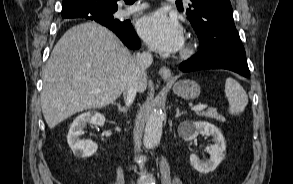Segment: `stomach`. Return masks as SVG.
Masks as SVG:
<instances>
[{"instance_id": "obj_1", "label": "stomach", "mask_w": 293, "mask_h": 184, "mask_svg": "<svg viewBox=\"0 0 293 184\" xmlns=\"http://www.w3.org/2000/svg\"><path fill=\"white\" fill-rule=\"evenodd\" d=\"M173 92L183 99H196L200 95V86L193 80H179L173 84Z\"/></svg>"}]
</instances>
